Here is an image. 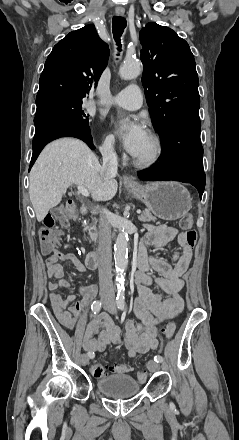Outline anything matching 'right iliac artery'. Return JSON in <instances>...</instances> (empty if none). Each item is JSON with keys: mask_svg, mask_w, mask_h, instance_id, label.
<instances>
[{"mask_svg": "<svg viewBox=\"0 0 239 440\" xmlns=\"http://www.w3.org/2000/svg\"><path fill=\"white\" fill-rule=\"evenodd\" d=\"M101 301H94L93 303H92V305H91V309H92V311H93V313L94 314H96V313H98L99 311H100V309H101ZM90 358H93L94 357V355L92 354V353H90V352H88V354H87Z\"/></svg>", "mask_w": 239, "mask_h": 440, "instance_id": "obj_1", "label": "right iliac artery"}]
</instances>
